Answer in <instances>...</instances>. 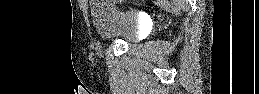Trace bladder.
I'll list each match as a JSON object with an SVG mask.
<instances>
[{
	"label": "bladder",
	"instance_id": "1",
	"mask_svg": "<svg viewBox=\"0 0 259 94\" xmlns=\"http://www.w3.org/2000/svg\"><path fill=\"white\" fill-rule=\"evenodd\" d=\"M92 22L106 39H121L127 43L139 40L142 22L137 13L122 11L107 1L94 2L90 7Z\"/></svg>",
	"mask_w": 259,
	"mask_h": 94
}]
</instances>
